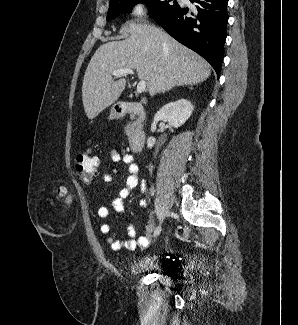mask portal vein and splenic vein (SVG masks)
Segmentation results:
<instances>
[{
    "mask_svg": "<svg viewBox=\"0 0 298 325\" xmlns=\"http://www.w3.org/2000/svg\"><path fill=\"white\" fill-rule=\"evenodd\" d=\"M113 76H123V74H134L133 68H116V70H113L111 72ZM146 88V80H139L137 84V92H144Z\"/></svg>",
    "mask_w": 298,
    "mask_h": 325,
    "instance_id": "portal-vein-and-splenic-vein-1",
    "label": "portal vein and splenic vein"
}]
</instances>
